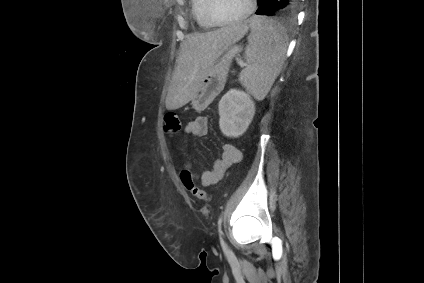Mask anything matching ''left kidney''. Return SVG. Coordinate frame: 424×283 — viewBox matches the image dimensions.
Listing matches in <instances>:
<instances>
[{"instance_id":"1","label":"left kidney","mask_w":424,"mask_h":283,"mask_svg":"<svg viewBox=\"0 0 424 283\" xmlns=\"http://www.w3.org/2000/svg\"><path fill=\"white\" fill-rule=\"evenodd\" d=\"M255 114V103L249 93L231 89L219 102V127L223 135L237 138L248 129Z\"/></svg>"}]
</instances>
